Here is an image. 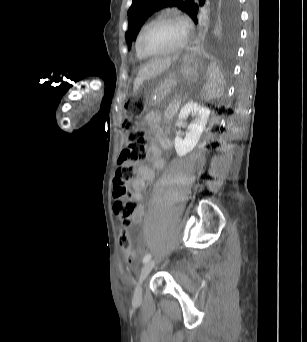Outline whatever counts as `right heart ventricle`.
I'll return each instance as SVG.
<instances>
[{
	"label": "right heart ventricle",
	"instance_id": "obj_1",
	"mask_svg": "<svg viewBox=\"0 0 307 342\" xmlns=\"http://www.w3.org/2000/svg\"><path fill=\"white\" fill-rule=\"evenodd\" d=\"M150 20V16L148 15L147 17H145L143 19V21L141 22L139 28H138V31H137V35H136V43H135V52H136V56L138 57V59L140 60H145V58L143 56H141L138 52V48H137V43H138V38H139V35H140V32L141 30L143 29V26L145 25V23Z\"/></svg>",
	"mask_w": 307,
	"mask_h": 342
}]
</instances>
